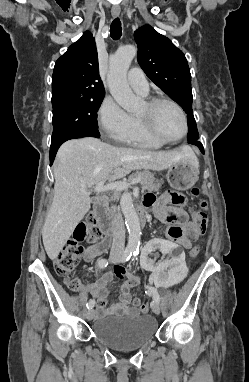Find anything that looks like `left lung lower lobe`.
<instances>
[{"label":"left lung lower lobe","instance_id":"obj_1","mask_svg":"<svg viewBox=\"0 0 249 382\" xmlns=\"http://www.w3.org/2000/svg\"><path fill=\"white\" fill-rule=\"evenodd\" d=\"M188 143L198 146L200 148V150L204 153L203 146H202V144L199 141L192 140V141H189Z\"/></svg>","mask_w":249,"mask_h":382}]
</instances>
